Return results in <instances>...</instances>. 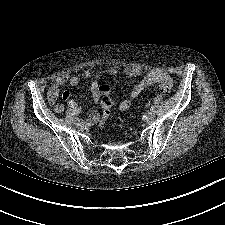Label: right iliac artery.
Masks as SVG:
<instances>
[{"label":"right iliac artery","instance_id":"82829eb1","mask_svg":"<svg viewBox=\"0 0 225 225\" xmlns=\"http://www.w3.org/2000/svg\"><path fill=\"white\" fill-rule=\"evenodd\" d=\"M75 120H76V122L80 121L78 118H76Z\"/></svg>","mask_w":225,"mask_h":225}]
</instances>
